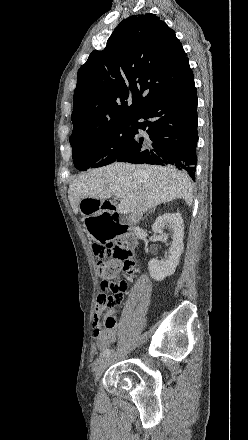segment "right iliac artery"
I'll list each match as a JSON object with an SVG mask.
<instances>
[{
	"instance_id": "right-iliac-artery-1",
	"label": "right iliac artery",
	"mask_w": 248,
	"mask_h": 440,
	"mask_svg": "<svg viewBox=\"0 0 248 440\" xmlns=\"http://www.w3.org/2000/svg\"><path fill=\"white\" fill-rule=\"evenodd\" d=\"M110 353H111V350L110 349H106V350L103 351L102 355L105 357V356H109Z\"/></svg>"
}]
</instances>
